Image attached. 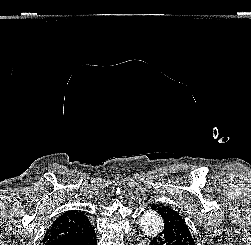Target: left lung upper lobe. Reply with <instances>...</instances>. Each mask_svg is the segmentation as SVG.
<instances>
[{"mask_svg":"<svg viewBox=\"0 0 251 245\" xmlns=\"http://www.w3.org/2000/svg\"><path fill=\"white\" fill-rule=\"evenodd\" d=\"M151 209L158 212L163 218V232L169 231L173 233V235L185 243V245H195L189 228L178 212L168 206L161 204L152 205Z\"/></svg>","mask_w":251,"mask_h":245,"instance_id":"5c2ea615","label":"left lung upper lobe"}]
</instances>
